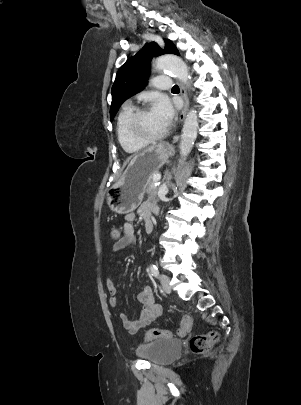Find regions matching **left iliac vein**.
<instances>
[{
    "label": "left iliac vein",
    "mask_w": 301,
    "mask_h": 405,
    "mask_svg": "<svg viewBox=\"0 0 301 405\" xmlns=\"http://www.w3.org/2000/svg\"><path fill=\"white\" fill-rule=\"evenodd\" d=\"M160 282H161L163 290L166 293H170L171 292L170 278L165 274H161L160 275Z\"/></svg>",
    "instance_id": "left-iliac-vein-1"
}]
</instances>
